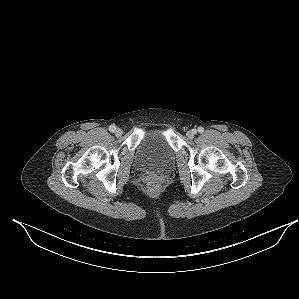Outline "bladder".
Segmentation results:
<instances>
[{"label": "bladder", "instance_id": "bladder-1", "mask_svg": "<svg viewBox=\"0 0 299 299\" xmlns=\"http://www.w3.org/2000/svg\"><path fill=\"white\" fill-rule=\"evenodd\" d=\"M174 155L165 131L151 129L142 135L136 149L135 160L143 170L165 171L172 166Z\"/></svg>", "mask_w": 299, "mask_h": 299}]
</instances>
